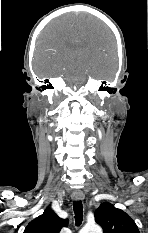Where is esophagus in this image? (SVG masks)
Returning <instances> with one entry per match:
<instances>
[{"instance_id": "esophagus-1", "label": "esophagus", "mask_w": 148, "mask_h": 233, "mask_svg": "<svg viewBox=\"0 0 148 233\" xmlns=\"http://www.w3.org/2000/svg\"><path fill=\"white\" fill-rule=\"evenodd\" d=\"M72 199L75 201L83 200L84 199V194L81 191H74L72 193Z\"/></svg>"}]
</instances>
